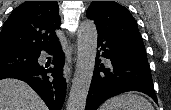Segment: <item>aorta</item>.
<instances>
[{
	"instance_id": "aorta-1",
	"label": "aorta",
	"mask_w": 171,
	"mask_h": 110,
	"mask_svg": "<svg viewBox=\"0 0 171 110\" xmlns=\"http://www.w3.org/2000/svg\"><path fill=\"white\" fill-rule=\"evenodd\" d=\"M97 28L92 20L80 23L77 32V62L66 110H84L97 52Z\"/></svg>"
}]
</instances>
